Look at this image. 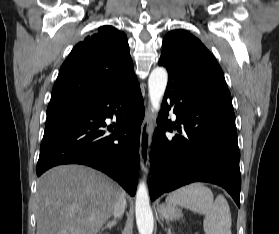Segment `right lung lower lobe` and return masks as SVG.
<instances>
[{"label": "right lung lower lobe", "mask_w": 279, "mask_h": 234, "mask_svg": "<svg viewBox=\"0 0 279 234\" xmlns=\"http://www.w3.org/2000/svg\"><path fill=\"white\" fill-rule=\"evenodd\" d=\"M144 114L136 77L106 96L47 114L37 175L60 164L88 165L112 177L134 196ZM113 117L114 132L106 136V128L110 129L105 119Z\"/></svg>", "instance_id": "1"}]
</instances>
